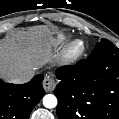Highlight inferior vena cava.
<instances>
[{"label": "inferior vena cava", "instance_id": "1", "mask_svg": "<svg viewBox=\"0 0 119 119\" xmlns=\"http://www.w3.org/2000/svg\"><path fill=\"white\" fill-rule=\"evenodd\" d=\"M34 76V71H26L12 76L8 79V82L13 84H23L29 82Z\"/></svg>", "mask_w": 119, "mask_h": 119}]
</instances>
